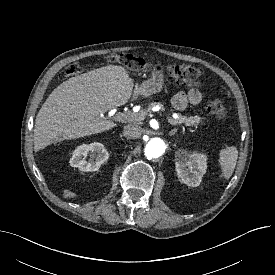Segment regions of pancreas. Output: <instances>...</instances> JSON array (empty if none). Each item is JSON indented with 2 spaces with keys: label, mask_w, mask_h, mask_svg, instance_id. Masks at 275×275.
<instances>
[{
  "label": "pancreas",
  "mask_w": 275,
  "mask_h": 275,
  "mask_svg": "<svg viewBox=\"0 0 275 275\" xmlns=\"http://www.w3.org/2000/svg\"><path fill=\"white\" fill-rule=\"evenodd\" d=\"M155 105H157V103L152 102L149 104L148 108L146 111L142 112V118L144 117L145 113L147 111H150L152 107H154ZM170 121H172L175 124H181L184 123L186 126H198L200 123H202L203 118L199 117V116H190V117H186V116H182V115H178L177 119H173V118H169Z\"/></svg>",
  "instance_id": "obj_1"
}]
</instances>
